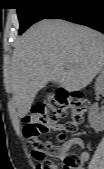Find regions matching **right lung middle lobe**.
Listing matches in <instances>:
<instances>
[{"mask_svg": "<svg viewBox=\"0 0 104 169\" xmlns=\"http://www.w3.org/2000/svg\"><path fill=\"white\" fill-rule=\"evenodd\" d=\"M19 17V34H22L33 23L48 18L62 5L72 0H15Z\"/></svg>", "mask_w": 104, "mask_h": 169, "instance_id": "right-lung-middle-lobe-1", "label": "right lung middle lobe"}]
</instances>
